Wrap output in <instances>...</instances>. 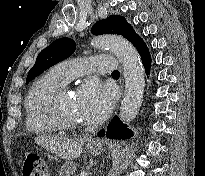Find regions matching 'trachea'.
<instances>
[{
  "instance_id": "obj_1",
  "label": "trachea",
  "mask_w": 205,
  "mask_h": 176,
  "mask_svg": "<svg viewBox=\"0 0 205 176\" xmlns=\"http://www.w3.org/2000/svg\"><path fill=\"white\" fill-rule=\"evenodd\" d=\"M112 73H119V71H113Z\"/></svg>"
}]
</instances>
